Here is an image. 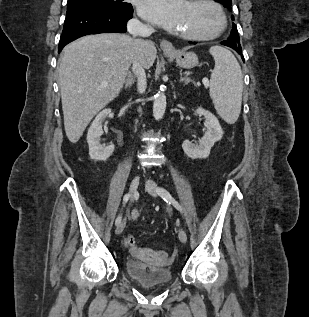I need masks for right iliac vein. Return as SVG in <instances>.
Instances as JSON below:
<instances>
[{
    "instance_id": "obj_1",
    "label": "right iliac vein",
    "mask_w": 309,
    "mask_h": 317,
    "mask_svg": "<svg viewBox=\"0 0 309 317\" xmlns=\"http://www.w3.org/2000/svg\"><path fill=\"white\" fill-rule=\"evenodd\" d=\"M138 186H139V176H135L130 184L129 192H130L131 198H133L134 195L136 194ZM125 224H126V222H125V220H123L117 225V228L115 230L116 235H119L123 232V230L125 228Z\"/></svg>"
}]
</instances>
